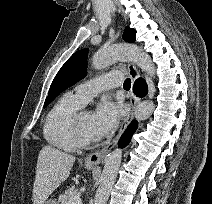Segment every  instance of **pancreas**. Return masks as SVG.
Segmentation results:
<instances>
[{
    "label": "pancreas",
    "mask_w": 212,
    "mask_h": 204,
    "mask_svg": "<svg viewBox=\"0 0 212 204\" xmlns=\"http://www.w3.org/2000/svg\"><path fill=\"white\" fill-rule=\"evenodd\" d=\"M74 196H79V192L73 188L67 189L64 194L59 196V202L61 204H68L69 199Z\"/></svg>",
    "instance_id": "1"
}]
</instances>
